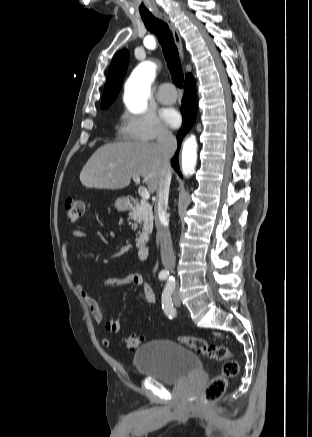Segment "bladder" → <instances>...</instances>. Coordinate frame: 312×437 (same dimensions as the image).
<instances>
[{"mask_svg": "<svg viewBox=\"0 0 312 437\" xmlns=\"http://www.w3.org/2000/svg\"><path fill=\"white\" fill-rule=\"evenodd\" d=\"M134 365L140 375L170 385L202 373L200 359L193 351L167 339L152 340L139 347Z\"/></svg>", "mask_w": 312, "mask_h": 437, "instance_id": "bladder-1", "label": "bladder"}]
</instances>
